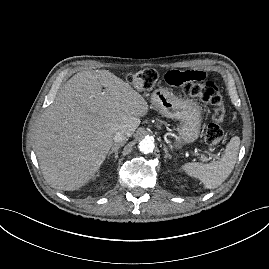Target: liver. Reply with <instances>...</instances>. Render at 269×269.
Here are the masks:
<instances>
[{"label":"liver","instance_id":"1","mask_svg":"<svg viewBox=\"0 0 269 269\" xmlns=\"http://www.w3.org/2000/svg\"><path fill=\"white\" fill-rule=\"evenodd\" d=\"M148 110L142 95L108 70L75 74L37 125L35 151L45 180L57 190L80 189L99 171L115 133L130 137Z\"/></svg>","mask_w":269,"mask_h":269}]
</instances>
